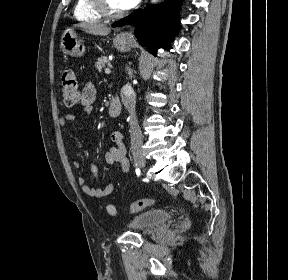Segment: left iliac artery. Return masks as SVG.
<instances>
[{"label":"left iliac artery","instance_id":"left-iliac-artery-1","mask_svg":"<svg viewBox=\"0 0 288 280\" xmlns=\"http://www.w3.org/2000/svg\"><path fill=\"white\" fill-rule=\"evenodd\" d=\"M136 174H137V178H138V179H141V178H142V175L140 174L139 168H136Z\"/></svg>","mask_w":288,"mask_h":280}]
</instances>
